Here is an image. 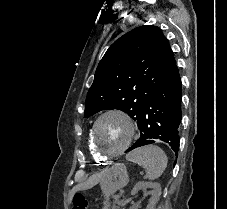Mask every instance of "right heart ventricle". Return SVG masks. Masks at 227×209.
<instances>
[{
	"instance_id": "right-heart-ventricle-1",
	"label": "right heart ventricle",
	"mask_w": 227,
	"mask_h": 209,
	"mask_svg": "<svg viewBox=\"0 0 227 209\" xmlns=\"http://www.w3.org/2000/svg\"><path fill=\"white\" fill-rule=\"evenodd\" d=\"M87 145H88V149H89V151H90V153H91L93 159H94L96 162L102 161L103 159H101V158L97 155V153H96V151H95V149H94V147H93V145H92L91 138H90V130H89L88 136H87Z\"/></svg>"
}]
</instances>
